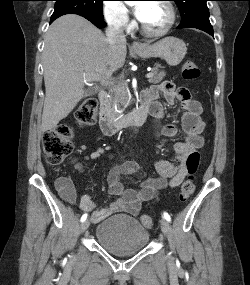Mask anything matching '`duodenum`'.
<instances>
[{"label": "duodenum", "mask_w": 250, "mask_h": 285, "mask_svg": "<svg viewBox=\"0 0 250 285\" xmlns=\"http://www.w3.org/2000/svg\"><path fill=\"white\" fill-rule=\"evenodd\" d=\"M100 110V128L105 135H112L120 128L128 125H142L147 120L150 110L148 105L142 101L140 106L134 111L122 117H114L108 108L109 95L106 91H101L98 95Z\"/></svg>", "instance_id": "obj_1"}]
</instances>
